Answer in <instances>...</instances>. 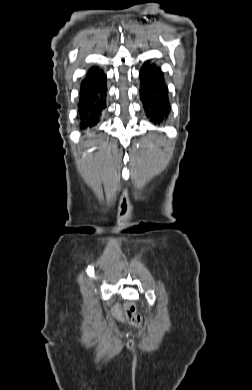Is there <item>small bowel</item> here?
I'll return each instance as SVG.
<instances>
[{"label":"small bowel","mask_w":252,"mask_h":390,"mask_svg":"<svg viewBox=\"0 0 252 390\" xmlns=\"http://www.w3.org/2000/svg\"><path fill=\"white\" fill-rule=\"evenodd\" d=\"M113 315L114 317H116L119 321H123V314H122V311H121V308L119 305H116L113 309Z\"/></svg>","instance_id":"obj_1"}]
</instances>
